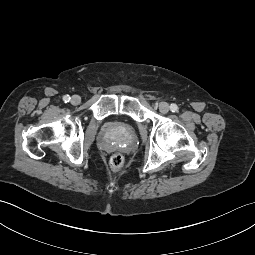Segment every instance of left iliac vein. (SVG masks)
Returning a JSON list of instances; mask_svg holds the SVG:
<instances>
[{
	"mask_svg": "<svg viewBox=\"0 0 255 255\" xmlns=\"http://www.w3.org/2000/svg\"><path fill=\"white\" fill-rule=\"evenodd\" d=\"M169 109H170V107H169L168 103L161 102L159 104V110H160L161 113L166 114V113H168Z\"/></svg>",
	"mask_w": 255,
	"mask_h": 255,
	"instance_id": "left-iliac-vein-1",
	"label": "left iliac vein"
}]
</instances>
